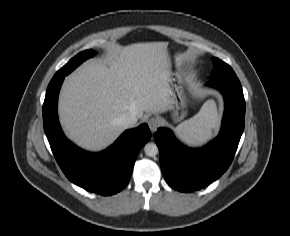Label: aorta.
Returning a JSON list of instances; mask_svg holds the SVG:
<instances>
[{
  "instance_id": "aorta-1",
  "label": "aorta",
  "mask_w": 290,
  "mask_h": 236,
  "mask_svg": "<svg viewBox=\"0 0 290 236\" xmlns=\"http://www.w3.org/2000/svg\"><path fill=\"white\" fill-rule=\"evenodd\" d=\"M144 152L149 157H154L158 154V147L155 143H147L144 146Z\"/></svg>"
}]
</instances>
